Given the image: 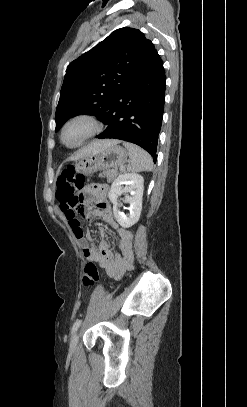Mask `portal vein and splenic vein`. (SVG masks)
Instances as JSON below:
<instances>
[{
    "mask_svg": "<svg viewBox=\"0 0 247 407\" xmlns=\"http://www.w3.org/2000/svg\"><path fill=\"white\" fill-rule=\"evenodd\" d=\"M120 170L123 171V170H124V167H121Z\"/></svg>",
    "mask_w": 247,
    "mask_h": 407,
    "instance_id": "1",
    "label": "portal vein and splenic vein"
}]
</instances>
